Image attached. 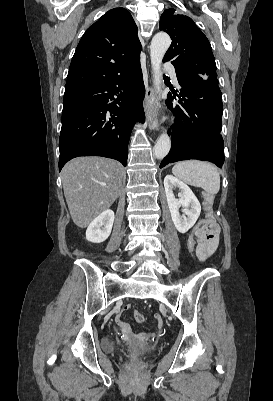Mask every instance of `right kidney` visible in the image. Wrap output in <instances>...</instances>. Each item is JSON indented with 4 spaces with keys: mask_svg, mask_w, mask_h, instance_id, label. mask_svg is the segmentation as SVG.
<instances>
[{
    "mask_svg": "<svg viewBox=\"0 0 273 401\" xmlns=\"http://www.w3.org/2000/svg\"><path fill=\"white\" fill-rule=\"evenodd\" d=\"M114 219L115 215L111 209L103 211L99 217H96L90 223L86 231L87 241H91V243H103V241H106L112 231Z\"/></svg>",
    "mask_w": 273,
    "mask_h": 401,
    "instance_id": "ca27d5eb",
    "label": "right kidney"
}]
</instances>
